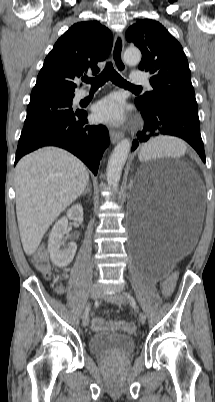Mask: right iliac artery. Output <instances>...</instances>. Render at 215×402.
Listing matches in <instances>:
<instances>
[{
    "label": "right iliac artery",
    "instance_id": "right-iliac-artery-1",
    "mask_svg": "<svg viewBox=\"0 0 215 402\" xmlns=\"http://www.w3.org/2000/svg\"><path fill=\"white\" fill-rule=\"evenodd\" d=\"M89 311H90V306H87L86 309H85V316L88 315Z\"/></svg>",
    "mask_w": 215,
    "mask_h": 402
}]
</instances>
